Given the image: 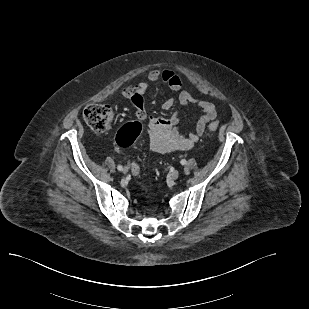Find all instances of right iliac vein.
Here are the masks:
<instances>
[{
	"mask_svg": "<svg viewBox=\"0 0 309 309\" xmlns=\"http://www.w3.org/2000/svg\"><path fill=\"white\" fill-rule=\"evenodd\" d=\"M122 172H123L124 174L128 173V168H127V167H124V168L122 169Z\"/></svg>",
	"mask_w": 309,
	"mask_h": 309,
	"instance_id": "obj_1",
	"label": "right iliac vein"
}]
</instances>
